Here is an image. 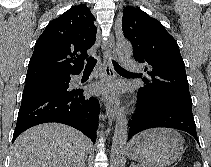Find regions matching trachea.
<instances>
[{"label":"trachea","mask_w":211,"mask_h":167,"mask_svg":"<svg viewBox=\"0 0 211 167\" xmlns=\"http://www.w3.org/2000/svg\"><path fill=\"white\" fill-rule=\"evenodd\" d=\"M97 60L93 57H90L87 59V64L85 66V69H93L94 66L96 65ZM112 63L114 65V68L117 71H124V72H128L127 70L123 69L116 61L112 60Z\"/></svg>","instance_id":"1"}]
</instances>
